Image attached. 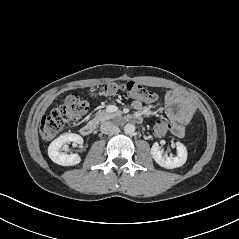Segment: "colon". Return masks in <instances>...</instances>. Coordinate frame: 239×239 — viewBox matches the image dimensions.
Wrapping results in <instances>:
<instances>
[{
	"label": "colon",
	"mask_w": 239,
	"mask_h": 239,
	"mask_svg": "<svg viewBox=\"0 0 239 239\" xmlns=\"http://www.w3.org/2000/svg\"><path fill=\"white\" fill-rule=\"evenodd\" d=\"M103 92L108 95H114L118 92H125L135 99L146 103H153L156 95L142 85L130 81L125 83H110L104 87ZM88 106L85 101L76 95L69 96L65 102L54 109L50 115L42 118L40 131L42 136L47 139H53L59 135L66 126L77 124L86 114ZM170 130L169 121L166 118H159L152 127V134L155 137H162Z\"/></svg>",
	"instance_id": "colon-1"
}]
</instances>
